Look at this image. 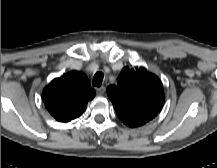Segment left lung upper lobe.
<instances>
[{
    "label": "left lung upper lobe",
    "instance_id": "5c2ea615",
    "mask_svg": "<svg viewBox=\"0 0 217 168\" xmlns=\"http://www.w3.org/2000/svg\"><path fill=\"white\" fill-rule=\"evenodd\" d=\"M118 118L129 127H139L160 112L164 102L163 85L145 68H123L117 85L107 89Z\"/></svg>",
    "mask_w": 217,
    "mask_h": 168
}]
</instances>
